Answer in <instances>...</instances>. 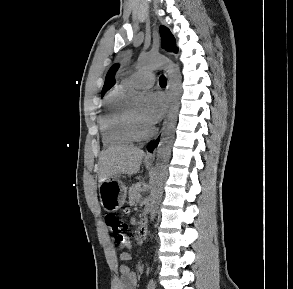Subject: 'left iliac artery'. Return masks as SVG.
I'll list each match as a JSON object with an SVG mask.
<instances>
[{"mask_svg": "<svg viewBox=\"0 0 293 289\" xmlns=\"http://www.w3.org/2000/svg\"><path fill=\"white\" fill-rule=\"evenodd\" d=\"M155 281L153 279H150L147 289H155Z\"/></svg>", "mask_w": 293, "mask_h": 289, "instance_id": "1", "label": "left iliac artery"}]
</instances>
